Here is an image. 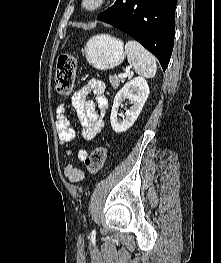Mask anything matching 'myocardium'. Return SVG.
I'll return each instance as SVG.
<instances>
[{
	"label": "myocardium",
	"mask_w": 221,
	"mask_h": 263,
	"mask_svg": "<svg viewBox=\"0 0 221 263\" xmlns=\"http://www.w3.org/2000/svg\"><path fill=\"white\" fill-rule=\"evenodd\" d=\"M110 0H81V7L88 13H95L103 9Z\"/></svg>",
	"instance_id": "f54148a6"
}]
</instances>
